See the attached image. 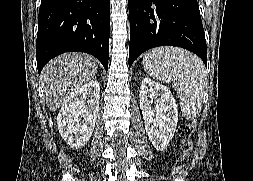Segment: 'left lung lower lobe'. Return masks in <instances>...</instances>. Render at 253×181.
I'll list each match as a JSON object with an SVG mask.
<instances>
[{
    "instance_id": "left-lung-lower-lobe-1",
    "label": "left lung lower lobe",
    "mask_w": 253,
    "mask_h": 181,
    "mask_svg": "<svg viewBox=\"0 0 253 181\" xmlns=\"http://www.w3.org/2000/svg\"><path fill=\"white\" fill-rule=\"evenodd\" d=\"M129 67L146 50L178 46L207 65L205 34L197 0H129Z\"/></svg>"
}]
</instances>
